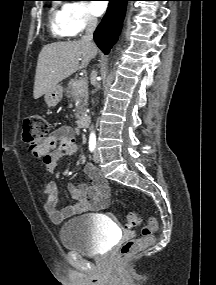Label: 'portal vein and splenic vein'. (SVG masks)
Instances as JSON below:
<instances>
[{"instance_id": "portal-vein-and-splenic-vein-1", "label": "portal vein and splenic vein", "mask_w": 216, "mask_h": 285, "mask_svg": "<svg viewBox=\"0 0 216 285\" xmlns=\"http://www.w3.org/2000/svg\"><path fill=\"white\" fill-rule=\"evenodd\" d=\"M83 84V79H80L74 83L75 88H79Z\"/></svg>"}]
</instances>
